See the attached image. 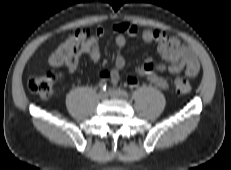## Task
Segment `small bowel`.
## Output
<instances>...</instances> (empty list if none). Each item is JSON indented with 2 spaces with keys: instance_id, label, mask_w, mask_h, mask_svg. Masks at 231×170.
Wrapping results in <instances>:
<instances>
[{
  "instance_id": "1",
  "label": "small bowel",
  "mask_w": 231,
  "mask_h": 170,
  "mask_svg": "<svg viewBox=\"0 0 231 170\" xmlns=\"http://www.w3.org/2000/svg\"><path fill=\"white\" fill-rule=\"evenodd\" d=\"M115 33L116 55L113 66L101 74L103 81L117 83L120 78V71L124 68L126 60L123 49L127 43V37H136L139 30L131 23H120L112 27ZM106 34V29L98 28L97 31L88 37L73 55L67 68L69 73H74L83 55H88L93 63L100 60L99 41ZM141 38L146 43L155 42L158 44V52L165 63L156 64L151 58L137 68V73L147 78L157 87L169 89L168 81L161 76L163 72L179 73L184 71L189 77H193L199 72V62L193 49L179 38L169 35L161 30L145 29L141 32ZM129 85L135 86L138 80L134 76L127 78Z\"/></svg>"
}]
</instances>
